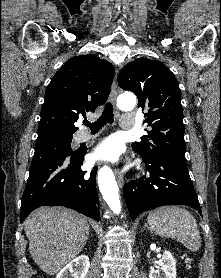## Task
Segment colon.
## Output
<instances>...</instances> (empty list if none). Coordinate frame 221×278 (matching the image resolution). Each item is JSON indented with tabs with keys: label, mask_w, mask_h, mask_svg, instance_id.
Wrapping results in <instances>:
<instances>
[{
	"label": "colon",
	"mask_w": 221,
	"mask_h": 278,
	"mask_svg": "<svg viewBox=\"0 0 221 278\" xmlns=\"http://www.w3.org/2000/svg\"><path fill=\"white\" fill-rule=\"evenodd\" d=\"M183 259H184L186 265L189 267V265H190V259H189V257H187L186 255H183Z\"/></svg>",
	"instance_id": "obj_1"
}]
</instances>
